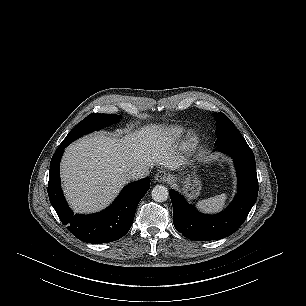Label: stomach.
<instances>
[{
    "mask_svg": "<svg viewBox=\"0 0 306 306\" xmlns=\"http://www.w3.org/2000/svg\"><path fill=\"white\" fill-rule=\"evenodd\" d=\"M182 191L188 199H195L200 195L201 181L195 173H187L181 178Z\"/></svg>",
    "mask_w": 306,
    "mask_h": 306,
    "instance_id": "0dacf381",
    "label": "stomach"
}]
</instances>
